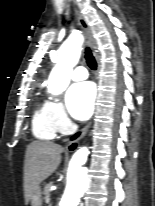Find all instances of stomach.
<instances>
[{
  "instance_id": "obj_1",
  "label": "stomach",
  "mask_w": 155,
  "mask_h": 206,
  "mask_svg": "<svg viewBox=\"0 0 155 206\" xmlns=\"http://www.w3.org/2000/svg\"><path fill=\"white\" fill-rule=\"evenodd\" d=\"M32 206H42V192L41 188L38 187L34 194L30 198Z\"/></svg>"
}]
</instances>
